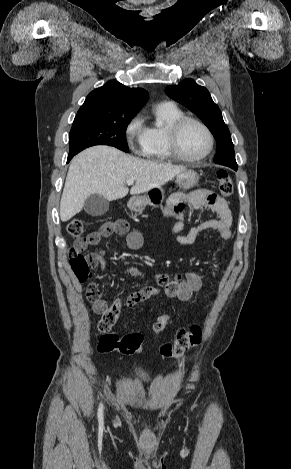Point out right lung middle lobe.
<instances>
[{
  "label": "right lung middle lobe",
  "mask_w": 291,
  "mask_h": 469,
  "mask_svg": "<svg viewBox=\"0 0 291 469\" xmlns=\"http://www.w3.org/2000/svg\"><path fill=\"white\" fill-rule=\"evenodd\" d=\"M132 117L76 115L69 134V155L99 144L128 151L125 132Z\"/></svg>",
  "instance_id": "dd1d6c3e"
}]
</instances>
